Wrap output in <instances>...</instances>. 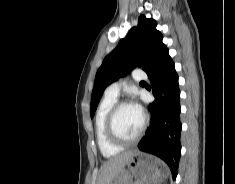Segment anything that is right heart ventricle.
<instances>
[{
  "label": "right heart ventricle",
  "instance_id": "1",
  "mask_svg": "<svg viewBox=\"0 0 235 184\" xmlns=\"http://www.w3.org/2000/svg\"><path fill=\"white\" fill-rule=\"evenodd\" d=\"M117 103L116 98L104 96L100 101L95 118H94V134L97 144L105 157L117 155L122 147L113 143L106 132V119L110 109Z\"/></svg>",
  "mask_w": 235,
  "mask_h": 184
}]
</instances>
